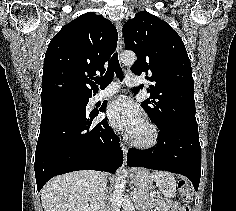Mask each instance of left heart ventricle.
I'll list each match as a JSON object with an SVG mask.
<instances>
[{
	"label": "left heart ventricle",
	"instance_id": "left-heart-ventricle-1",
	"mask_svg": "<svg viewBox=\"0 0 236 211\" xmlns=\"http://www.w3.org/2000/svg\"><path fill=\"white\" fill-rule=\"evenodd\" d=\"M144 132H145V128L143 124L141 123V125L133 132V134L137 137H142L144 136Z\"/></svg>",
	"mask_w": 236,
	"mask_h": 211
}]
</instances>
